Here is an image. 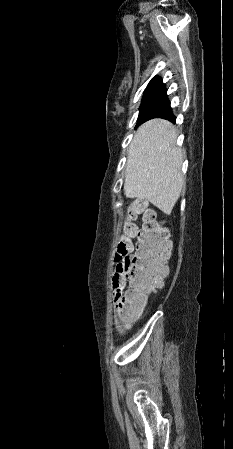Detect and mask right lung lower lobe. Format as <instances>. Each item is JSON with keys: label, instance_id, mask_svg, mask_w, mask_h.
Listing matches in <instances>:
<instances>
[{"label": "right lung lower lobe", "instance_id": "1", "mask_svg": "<svg viewBox=\"0 0 233 449\" xmlns=\"http://www.w3.org/2000/svg\"><path fill=\"white\" fill-rule=\"evenodd\" d=\"M152 118H164V119H167V120H169L171 122H175V120H176L175 116L172 113L171 108H169V109H167V110H165V111L155 115Z\"/></svg>", "mask_w": 233, "mask_h": 449}]
</instances>
